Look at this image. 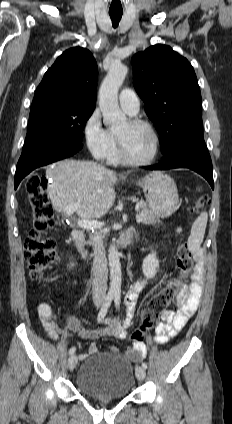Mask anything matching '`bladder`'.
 Here are the masks:
<instances>
[{
    "label": "bladder",
    "instance_id": "bladder-1",
    "mask_svg": "<svg viewBox=\"0 0 232 424\" xmlns=\"http://www.w3.org/2000/svg\"><path fill=\"white\" fill-rule=\"evenodd\" d=\"M135 385L132 363L122 354H95L85 359L76 377L84 395L99 399H122Z\"/></svg>",
    "mask_w": 232,
    "mask_h": 424
}]
</instances>
